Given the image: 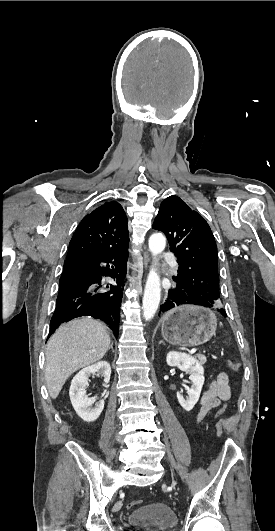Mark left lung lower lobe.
Wrapping results in <instances>:
<instances>
[{"label":"left lung lower lobe","instance_id":"1","mask_svg":"<svg viewBox=\"0 0 275 531\" xmlns=\"http://www.w3.org/2000/svg\"><path fill=\"white\" fill-rule=\"evenodd\" d=\"M181 304H191V303L182 300L174 292L169 291L165 302L160 306V312H167L168 310L174 308L175 306H179ZM220 313L224 316H227L226 312L223 309H220Z\"/></svg>","mask_w":275,"mask_h":531}]
</instances>
